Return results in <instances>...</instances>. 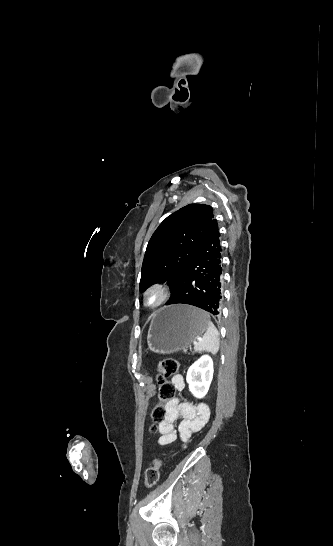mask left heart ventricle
Here are the masks:
<instances>
[{
  "label": "left heart ventricle",
  "instance_id": "1",
  "mask_svg": "<svg viewBox=\"0 0 333 546\" xmlns=\"http://www.w3.org/2000/svg\"><path fill=\"white\" fill-rule=\"evenodd\" d=\"M159 299V295L157 293H152L149 297L150 303H155Z\"/></svg>",
  "mask_w": 333,
  "mask_h": 546
}]
</instances>
